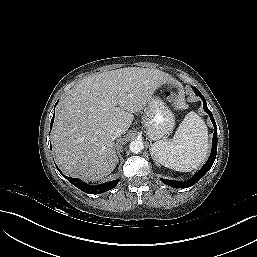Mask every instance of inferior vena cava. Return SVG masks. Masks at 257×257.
Segmentation results:
<instances>
[{"label":"inferior vena cava","instance_id":"obj_1","mask_svg":"<svg viewBox=\"0 0 257 257\" xmlns=\"http://www.w3.org/2000/svg\"><path fill=\"white\" fill-rule=\"evenodd\" d=\"M121 134H123V130L121 128H116L113 130L112 132V138L116 139L117 137H119Z\"/></svg>","mask_w":257,"mask_h":257}]
</instances>
